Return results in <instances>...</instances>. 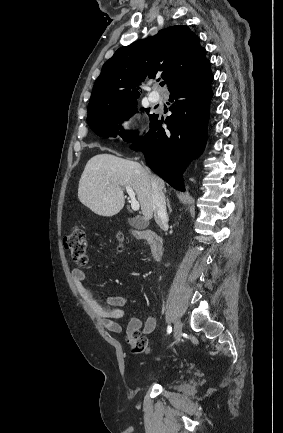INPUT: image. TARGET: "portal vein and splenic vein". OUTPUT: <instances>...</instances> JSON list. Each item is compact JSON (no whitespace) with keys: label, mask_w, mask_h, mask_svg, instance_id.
<instances>
[{"label":"portal vein and splenic vein","mask_w":283,"mask_h":433,"mask_svg":"<svg viewBox=\"0 0 283 433\" xmlns=\"http://www.w3.org/2000/svg\"><path fill=\"white\" fill-rule=\"evenodd\" d=\"M126 190L131 198V208H133V210H139V202L135 198V192L133 188H131V186H126Z\"/></svg>","instance_id":"portal-vein-and-splenic-vein-1"}]
</instances>
